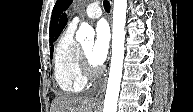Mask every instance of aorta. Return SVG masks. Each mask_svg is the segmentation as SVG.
Instances as JSON below:
<instances>
[{
    "label": "aorta",
    "mask_w": 193,
    "mask_h": 112,
    "mask_svg": "<svg viewBox=\"0 0 193 112\" xmlns=\"http://www.w3.org/2000/svg\"><path fill=\"white\" fill-rule=\"evenodd\" d=\"M127 0H114L113 7V29H112V57L110 72L107 83L103 112H116L117 101L122 79L125 23H126ZM94 39V30L88 23H81L76 40L83 42Z\"/></svg>",
    "instance_id": "aorta-1"
}]
</instances>
